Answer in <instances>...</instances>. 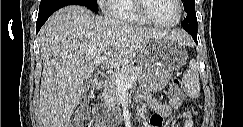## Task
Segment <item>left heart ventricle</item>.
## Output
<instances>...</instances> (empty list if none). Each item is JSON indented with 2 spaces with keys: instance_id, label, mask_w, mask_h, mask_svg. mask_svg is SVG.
<instances>
[{
  "instance_id": "1",
  "label": "left heart ventricle",
  "mask_w": 243,
  "mask_h": 127,
  "mask_svg": "<svg viewBox=\"0 0 243 127\" xmlns=\"http://www.w3.org/2000/svg\"><path fill=\"white\" fill-rule=\"evenodd\" d=\"M145 3L149 14L160 22H174L179 15L174 0H146Z\"/></svg>"
}]
</instances>
